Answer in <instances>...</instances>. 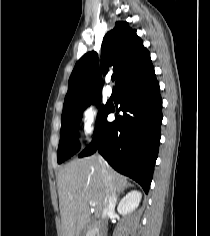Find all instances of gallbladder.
Returning <instances> with one entry per match:
<instances>
[{"instance_id": "obj_1", "label": "gallbladder", "mask_w": 210, "mask_h": 236, "mask_svg": "<svg viewBox=\"0 0 210 236\" xmlns=\"http://www.w3.org/2000/svg\"><path fill=\"white\" fill-rule=\"evenodd\" d=\"M87 230H88V225L81 231L79 236H85Z\"/></svg>"}]
</instances>
